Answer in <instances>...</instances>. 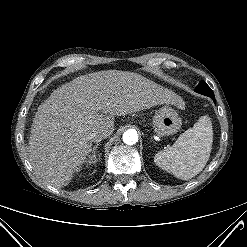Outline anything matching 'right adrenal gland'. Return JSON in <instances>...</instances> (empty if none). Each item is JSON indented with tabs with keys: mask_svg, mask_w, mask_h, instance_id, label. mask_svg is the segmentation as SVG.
I'll return each mask as SVG.
<instances>
[{
	"mask_svg": "<svg viewBox=\"0 0 247 247\" xmlns=\"http://www.w3.org/2000/svg\"><path fill=\"white\" fill-rule=\"evenodd\" d=\"M98 146H99V144L97 143V144L93 147V149H92V153H93V154L89 157V160H88V163H89L90 165L96 163V161H97L96 150H97Z\"/></svg>",
	"mask_w": 247,
	"mask_h": 247,
	"instance_id": "obj_1",
	"label": "right adrenal gland"
}]
</instances>
